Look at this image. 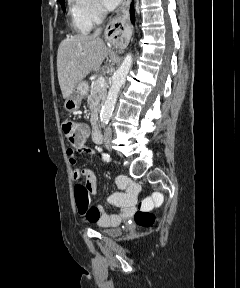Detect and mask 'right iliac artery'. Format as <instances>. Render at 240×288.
Masks as SVG:
<instances>
[{"label": "right iliac artery", "instance_id": "obj_1", "mask_svg": "<svg viewBox=\"0 0 240 288\" xmlns=\"http://www.w3.org/2000/svg\"><path fill=\"white\" fill-rule=\"evenodd\" d=\"M102 159L107 162L111 161V157L107 153L102 154Z\"/></svg>", "mask_w": 240, "mask_h": 288}]
</instances>
